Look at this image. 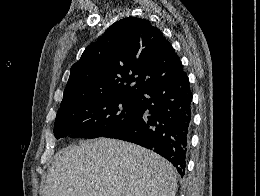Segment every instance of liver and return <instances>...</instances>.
<instances>
[{
  "instance_id": "liver-1",
  "label": "liver",
  "mask_w": 260,
  "mask_h": 196,
  "mask_svg": "<svg viewBox=\"0 0 260 196\" xmlns=\"http://www.w3.org/2000/svg\"><path fill=\"white\" fill-rule=\"evenodd\" d=\"M175 168L155 152L122 140H88L60 150L43 196H176Z\"/></svg>"
}]
</instances>
